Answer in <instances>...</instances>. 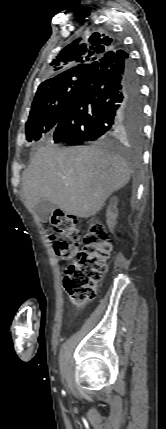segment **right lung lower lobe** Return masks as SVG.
Here are the masks:
<instances>
[{
	"instance_id": "1",
	"label": "right lung lower lobe",
	"mask_w": 166,
	"mask_h": 429,
	"mask_svg": "<svg viewBox=\"0 0 166 429\" xmlns=\"http://www.w3.org/2000/svg\"><path fill=\"white\" fill-rule=\"evenodd\" d=\"M142 98L135 67L125 51L93 62L53 131L56 143L101 144L123 128L142 127Z\"/></svg>"
}]
</instances>
